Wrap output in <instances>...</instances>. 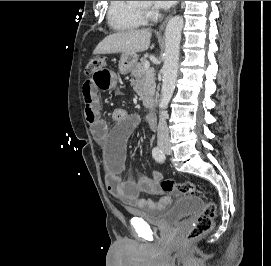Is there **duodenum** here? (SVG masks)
<instances>
[{
	"label": "duodenum",
	"mask_w": 271,
	"mask_h": 266,
	"mask_svg": "<svg viewBox=\"0 0 271 266\" xmlns=\"http://www.w3.org/2000/svg\"><path fill=\"white\" fill-rule=\"evenodd\" d=\"M145 103L150 107H154L155 103H156V100H155L154 97H146L145 98Z\"/></svg>",
	"instance_id": "410a0bca"
}]
</instances>
